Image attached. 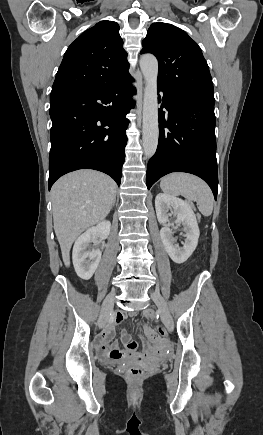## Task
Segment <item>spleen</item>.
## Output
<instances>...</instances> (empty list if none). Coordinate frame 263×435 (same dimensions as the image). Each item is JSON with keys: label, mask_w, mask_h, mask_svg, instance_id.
Wrapping results in <instances>:
<instances>
[{"label": "spleen", "mask_w": 263, "mask_h": 435, "mask_svg": "<svg viewBox=\"0 0 263 435\" xmlns=\"http://www.w3.org/2000/svg\"><path fill=\"white\" fill-rule=\"evenodd\" d=\"M161 189L169 194L182 195L195 201L204 216L213 211L214 198L209 186L197 176L188 173H172L162 178Z\"/></svg>", "instance_id": "spleen-1"}]
</instances>
